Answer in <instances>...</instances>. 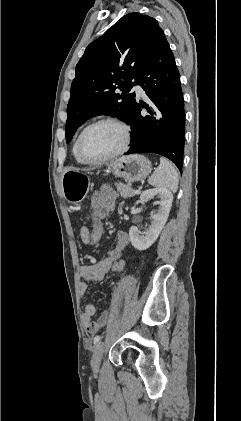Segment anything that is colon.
<instances>
[{
  "instance_id": "obj_1",
  "label": "colon",
  "mask_w": 241,
  "mask_h": 421,
  "mask_svg": "<svg viewBox=\"0 0 241 421\" xmlns=\"http://www.w3.org/2000/svg\"><path fill=\"white\" fill-rule=\"evenodd\" d=\"M88 218L90 219L91 226L89 227L87 244L96 245L101 241L104 235V226L101 219L95 216L93 211L89 212ZM126 266L127 264L124 259H117L113 262L110 271L113 274H121L125 271Z\"/></svg>"
}]
</instances>
